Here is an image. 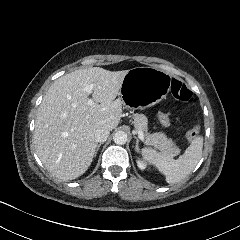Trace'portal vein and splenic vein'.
<instances>
[{"instance_id":"1","label":"portal vein and splenic vein","mask_w":240,"mask_h":240,"mask_svg":"<svg viewBox=\"0 0 240 240\" xmlns=\"http://www.w3.org/2000/svg\"><path fill=\"white\" fill-rule=\"evenodd\" d=\"M93 87H94V84H90V85H86L83 90L88 92L89 94L92 93V90H93ZM90 103H93V101L90 99L89 100ZM133 133H135V131H133ZM137 134H138V138L141 140V141H144V132L139 130L137 131Z\"/></svg>"}]
</instances>
